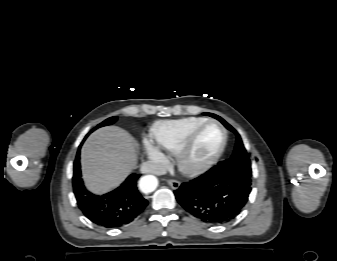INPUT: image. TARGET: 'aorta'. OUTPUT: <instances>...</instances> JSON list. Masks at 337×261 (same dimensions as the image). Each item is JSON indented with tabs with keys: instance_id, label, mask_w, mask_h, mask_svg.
I'll return each instance as SVG.
<instances>
[{
	"instance_id": "762f6f07",
	"label": "aorta",
	"mask_w": 337,
	"mask_h": 261,
	"mask_svg": "<svg viewBox=\"0 0 337 261\" xmlns=\"http://www.w3.org/2000/svg\"><path fill=\"white\" fill-rule=\"evenodd\" d=\"M157 186L158 180L152 175H146L139 181V187L143 193H151L157 188Z\"/></svg>"
}]
</instances>
